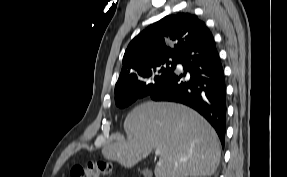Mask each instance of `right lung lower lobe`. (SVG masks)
Listing matches in <instances>:
<instances>
[{
  "label": "right lung lower lobe",
  "mask_w": 287,
  "mask_h": 177,
  "mask_svg": "<svg viewBox=\"0 0 287 177\" xmlns=\"http://www.w3.org/2000/svg\"><path fill=\"white\" fill-rule=\"evenodd\" d=\"M178 63L183 65L184 73L178 74L174 70L142 97L178 102L195 109L214 127L224 145L226 86L220 57L209 29L185 47Z\"/></svg>",
  "instance_id": "98d812e1"
}]
</instances>
